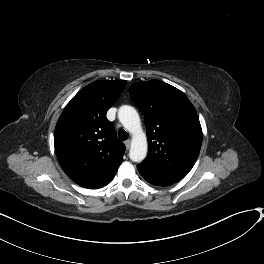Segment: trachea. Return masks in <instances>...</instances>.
I'll return each instance as SVG.
<instances>
[{"instance_id": "trachea-1", "label": "trachea", "mask_w": 264, "mask_h": 264, "mask_svg": "<svg viewBox=\"0 0 264 264\" xmlns=\"http://www.w3.org/2000/svg\"><path fill=\"white\" fill-rule=\"evenodd\" d=\"M118 136H119V139L124 141L128 138V133L124 129H120L118 131Z\"/></svg>"}]
</instances>
